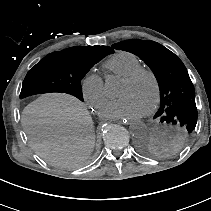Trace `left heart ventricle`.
Returning <instances> with one entry per match:
<instances>
[{
  "mask_svg": "<svg viewBox=\"0 0 211 211\" xmlns=\"http://www.w3.org/2000/svg\"><path fill=\"white\" fill-rule=\"evenodd\" d=\"M119 95L131 96L145 111L154 99V85L148 76L142 75L134 82L122 81Z\"/></svg>",
  "mask_w": 211,
  "mask_h": 211,
  "instance_id": "b2bd125f",
  "label": "left heart ventricle"
}]
</instances>
